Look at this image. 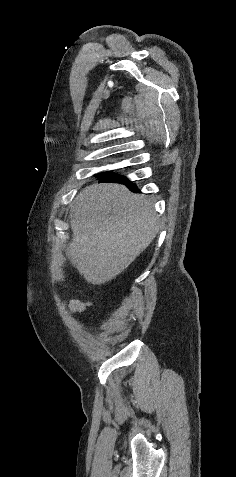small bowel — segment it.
<instances>
[{
  "instance_id": "obj_1",
  "label": "small bowel",
  "mask_w": 236,
  "mask_h": 477,
  "mask_svg": "<svg viewBox=\"0 0 236 477\" xmlns=\"http://www.w3.org/2000/svg\"><path fill=\"white\" fill-rule=\"evenodd\" d=\"M88 307V303L74 299L69 302L68 311L71 315L83 314L87 311Z\"/></svg>"
}]
</instances>
